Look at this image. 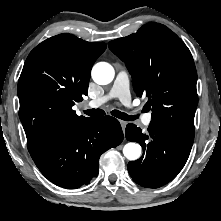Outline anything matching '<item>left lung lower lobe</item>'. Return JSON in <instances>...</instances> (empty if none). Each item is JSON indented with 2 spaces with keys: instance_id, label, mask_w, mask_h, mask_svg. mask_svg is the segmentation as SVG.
<instances>
[{
  "instance_id": "obj_1",
  "label": "left lung lower lobe",
  "mask_w": 221,
  "mask_h": 221,
  "mask_svg": "<svg viewBox=\"0 0 221 221\" xmlns=\"http://www.w3.org/2000/svg\"><path fill=\"white\" fill-rule=\"evenodd\" d=\"M125 135L129 141L138 142L143 147L142 157L129 162L128 171L137 184L147 188L161 187L178 175L189 157L194 140V134L153 121L147 133L130 123Z\"/></svg>"
}]
</instances>
